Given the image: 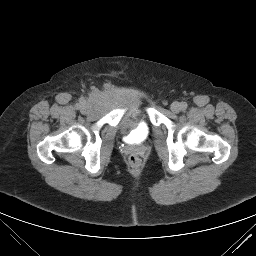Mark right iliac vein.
<instances>
[{"instance_id": "obj_1", "label": "right iliac vein", "mask_w": 256, "mask_h": 256, "mask_svg": "<svg viewBox=\"0 0 256 256\" xmlns=\"http://www.w3.org/2000/svg\"><path fill=\"white\" fill-rule=\"evenodd\" d=\"M90 110V106L87 102H83L81 105V112L86 113Z\"/></svg>"}]
</instances>
